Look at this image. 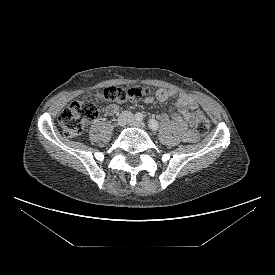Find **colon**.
<instances>
[{
    "label": "colon",
    "mask_w": 275,
    "mask_h": 275,
    "mask_svg": "<svg viewBox=\"0 0 275 275\" xmlns=\"http://www.w3.org/2000/svg\"><path fill=\"white\" fill-rule=\"evenodd\" d=\"M147 92L138 88L108 87L97 93L92 100L72 102L59 114L58 124L65 136L78 137L84 132L86 125L98 116V102H136ZM192 114L196 132L205 135L209 131V120L199 108H194Z\"/></svg>",
    "instance_id": "colon-1"
}]
</instances>
